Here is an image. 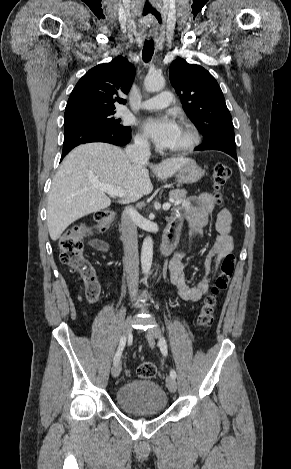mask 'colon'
I'll list each match as a JSON object with an SVG mask.
<instances>
[{"mask_svg":"<svg viewBox=\"0 0 291 469\" xmlns=\"http://www.w3.org/2000/svg\"><path fill=\"white\" fill-rule=\"evenodd\" d=\"M231 168L225 163H217L213 167L212 184L215 197L221 203V189L231 176ZM113 218V211L101 210L94 213L89 223H81L68 229L59 242V256L63 264L76 271L84 280L94 276L93 270L84 259L83 239L93 230L105 229ZM236 264V256L233 253L226 255L220 264L219 273L214 281L211 292L204 298L197 323L202 328L211 327L214 323L218 301L217 296L226 290L232 277ZM86 299L89 303L98 300L99 290L96 287H86ZM156 373V367L152 362H143L137 368V375L142 379L152 378Z\"/></svg>","mask_w":291,"mask_h":469,"instance_id":"obj_1","label":"colon"}]
</instances>
